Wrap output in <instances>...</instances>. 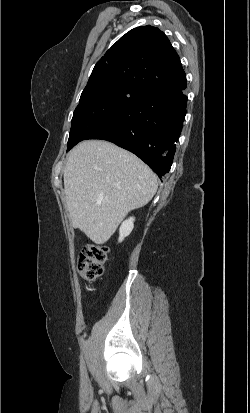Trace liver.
Instances as JSON below:
<instances>
[{
    "label": "liver",
    "mask_w": 250,
    "mask_h": 413,
    "mask_svg": "<svg viewBox=\"0 0 250 413\" xmlns=\"http://www.w3.org/2000/svg\"><path fill=\"white\" fill-rule=\"evenodd\" d=\"M157 188L154 172L111 142L86 140L67 156L64 192L69 219L96 244L107 242L124 217L145 206Z\"/></svg>",
    "instance_id": "6515ba94"
}]
</instances>
